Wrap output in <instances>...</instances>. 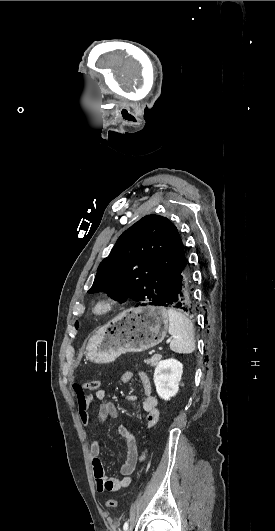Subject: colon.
I'll return each instance as SVG.
<instances>
[{
    "instance_id": "colon-1",
    "label": "colon",
    "mask_w": 275,
    "mask_h": 531,
    "mask_svg": "<svg viewBox=\"0 0 275 531\" xmlns=\"http://www.w3.org/2000/svg\"><path fill=\"white\" fill-rule=\"evenodd\" d=\"M100 388V379L92 378L85 382V392L94 393L99 391ZM106 506L108 509L115 510L118 507V500L115 498H110L106 501Z\"/></svg>"
}]
</instances>
